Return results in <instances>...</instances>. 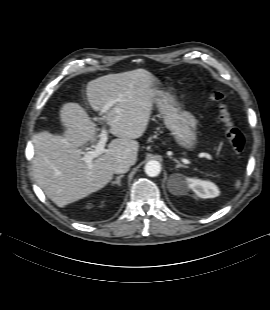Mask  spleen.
Returning <instances> with one entry per match:
<instances>
[{
	"instance_id": "1",
	"label": "spleen",
	"mask_w": 270,
	"mask_h": 310,
	"mask_svg": "<svg viewBox=\"0 0 270 310\" xmlns=\"http://www.w3.org/2000/svg\"><path fill=\"white\" fill-rule=\"evenodd\" d=\"M239 185H240V182H239V181H237V182H236V186L238 187Z\"/></svg>"
}]
</instances>
